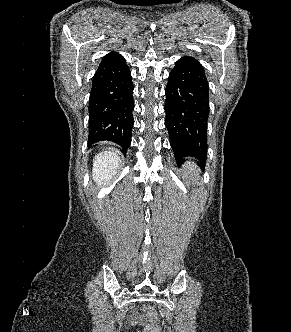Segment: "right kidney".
Here are the masks:
<instances>
[{
    "mask_svg": "<svg viewBox=\"0 0 291 332\" xmlns=\"http://www.w3.org/2000/svg\"><path fill=\"white\" fill-rule=\"evenodd\" d=\"M120 158L114 150L99 153L94 160L92 176L98 186L106 184L116 174Z\"/></svg>",
    "mask_w": 291,
    "mask_h": 332,
    "instance_id": "obj_1",
    "label": "right kidney"
}]
</instances>
